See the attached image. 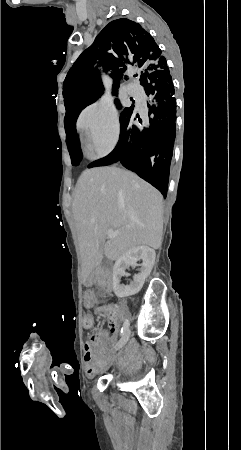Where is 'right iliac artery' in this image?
I'll return each mask as SVG.
<instances>
[{"mask_svg": "<svg viewBox=\"0 0 241 450\" xmlns=\"http://www.w3.org/2000/svg\"><path fill=\"white\" fill-rule=\"evenodd\" d=\"M128 327H129V321L126 320L123 327L121 328V335H123L127 331Z\"/></svg>", "mask_w": 241, "mask_h": 450, "instance_id": "1", "label": "right iliac artery"}]
</instances>
